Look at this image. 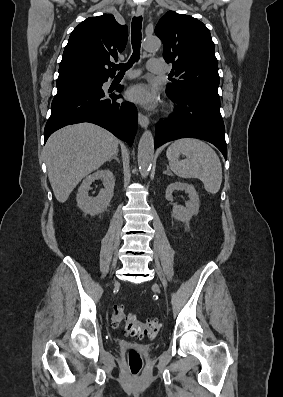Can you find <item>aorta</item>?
I'll return each instance as SVG.
<instances>
[{
    "label": "aorta",
    "instance_id": "aorta-1",
    "mask_svg": "<svg viewBox=\"0 0 283 397\" xmlns=\"http://www.w3.org/2000/svg\"><path fill=\"white\" fill-rule=\"evenodd\" d=\"M160 46V40L157 37H147L144 40L143 47L146 51L156 50ZM154 156V138L151 131L145 130L138 144V166L142 177L149 174Z\"/></svg>",
    "mask_w": 283,
    "mask_h": 397
}]
</instances>
